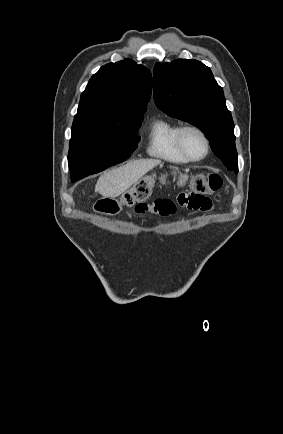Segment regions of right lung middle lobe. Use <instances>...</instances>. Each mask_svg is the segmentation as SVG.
<instances>
[{
	"instance_id": "dd1d6c3e",
	"label": "right lung middle lobe",
	"mask_w": 283,
	"mask_h": 434,
	"mask_svg": "<svg viewBox=\"0 0 283 434\" xmlns=\"http://www.w3.org/2000/svg\"><path fill=\"white\" fill-rule=\"evenodd\" d=\"M142 120L73 123L68 154L72 182L128 159L140 141Z\"/></svg>"
}]
</instances>
